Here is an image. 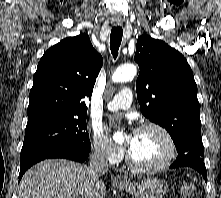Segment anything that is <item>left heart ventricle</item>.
<instances>
[{
	"instance_id": "left-heart-ventricle-1",
	"label": "left heart ventricle",
	"mask_w": 221,
	"mask_h": 198,
	"mask_svg": "<svg viewBox=\"0 0 221 198\" xmlns=\"http://www.w3.org/2000/svg\"><path fill=\"white\" fill-rule=\"evenodd\" d=\"M167 142L154 129L136 131L128 153L140 165H154L159 163L167 154Z\"/></svg>"
}]
</instances>
